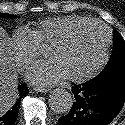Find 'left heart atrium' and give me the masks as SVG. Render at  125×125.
<instances>
[{"label":"left heart atrium","instance_id":"obj_1","mask_svg":"<svg viewBox=\"0 0 125 125\" xmlns=\"http://www.w3.org/2000/svg\"><path fill=\"white\" fill-rule=\"evenodd\" d=\"M28 81L39 87L57 84L69 78V75L57 58L35 63L26 75Z\"/></svg>","mask_w":125,"mask_h":125}]
</instances>
